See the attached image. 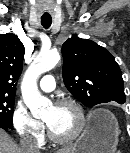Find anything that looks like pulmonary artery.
<instances>
[{
    "mask_svg": "<svg viewBox=\"0 0 130 153\" xmlns=\"http://www.w3.org/2000/svg\"><path fill=\"white\" fill-rule=\"evenodd\" d=\"M40 88L44 92H51L55 88V79L52 75H45L40 81Z\"/></svg>",
    "mask_w": 130,
    "mask_h": 153,
    "instance_id": "1",
    "label": "pulmonary artery"
}]
</instances>
